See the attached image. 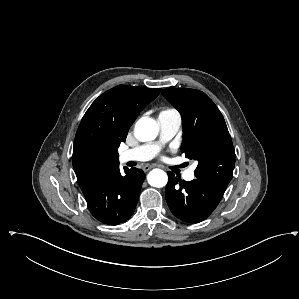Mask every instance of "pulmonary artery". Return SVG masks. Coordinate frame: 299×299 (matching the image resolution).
<instances>
[{
    "label": "pulmonary artery",
    "instance_id": "pulmonary-artery-1",
    "mask_svg": "<svg viewBox=\"0 0 299 299\" xmlns=\"http://www.w3.org/2000/svg\"><path fill=\"white\" fill-rule=\"evenodd\" d=\"M158 123L160 126V140L123 151L120 154L121 162L147 161L153 158L159 151L161 144L169 141L176 135L181 126V116L175 110H164L158 115ZM183 178L187 181L193 180L195 178L194 167L185 170Z\"/></svg>",
    "mask_w": 299,
    "mask_h": 299
}]
</instances>
